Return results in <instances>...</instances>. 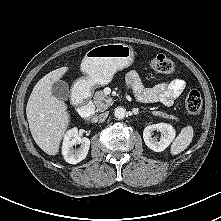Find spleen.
Listing matches in <instances>:
<instances>
[{"mask_svg":"<svg viewBox=\"0 0 221 221\" xmlns=\"http://www.w3.org/2000/svg\"><path fill=\"white\" fill-rule=\"evenodd\" d=\"M193 136V127L190 125L184 127L171 145V154L177 155L184 151L192 142Z\"/></svg>","mask_w":221,"mask_h":221,"instance_id":"3e777b00","label":"spleen"}]
</instances>
